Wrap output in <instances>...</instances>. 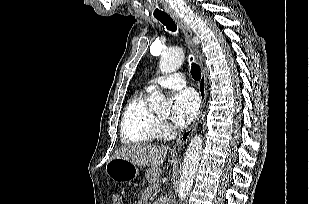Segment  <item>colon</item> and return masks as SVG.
Masks as SVG:
<instances>
[{
  "label": "colon",
  "mask_w": 309,
  "mask_h": 204,
  "mask_svg": "<svg viewBox=\"0 0 309 204\" xmlns=\"http://www.w3.org/2000/svg\"><path fill=\"white\" fill-rule=\"evenodd\" d=\"M112 202L113 204H121L122 199L120 193L115 192L112 194Z\"/></svg>",
  "instance_id": "1"
}]
</instances>
